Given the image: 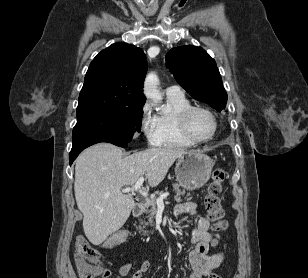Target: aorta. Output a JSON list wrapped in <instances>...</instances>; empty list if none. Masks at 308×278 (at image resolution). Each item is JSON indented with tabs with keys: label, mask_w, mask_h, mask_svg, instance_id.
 <instances>
[{
	"label": "aorta",
	"mask_w": 308,
	"mask_h": 278,
	"mask_svg": "<svg viewBox=\"0 0 308 278\" xmlns=\"http://www.w3.org/2000/svg\"><path fill=\"white\" fill-rule=\"evenodd\" d=\"M159 79L155 73H149L144 82V95L154 101L159 103L162 101V95L158 90Z\"/></svg>",
	"instance_id": "1"
}]
</instances>
